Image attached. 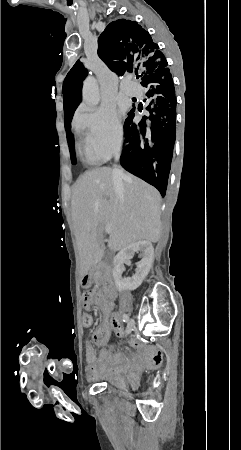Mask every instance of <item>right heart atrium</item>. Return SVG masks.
<instances>
[{
	"label": "right heart atrium",
	"mask_w": 241,
	"mask_h": 450,
	"mask_svg": "<svg viewBox=\"0 0 241 450\" xmlns=\"http://www.w3.org/2000/svg\"><path fill=\"white\" fill-rule=\"evenodd\" d=\"M88 114L74 118L75 130H88L84 133L83 153L96 155L100 160L109 159L121 145L123 126L112 106H97Z\"/></svg>",
	"instance_id": "obj_1"
}]
</instances>
